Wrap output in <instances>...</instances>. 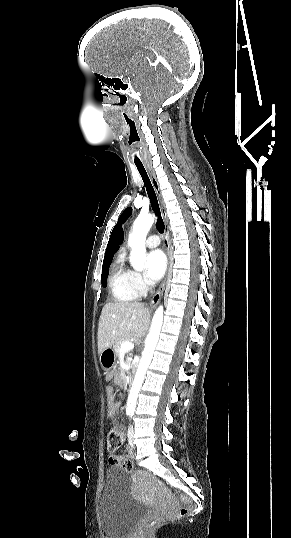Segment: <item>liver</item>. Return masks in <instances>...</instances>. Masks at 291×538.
Wrapping results in <instances>:
<instances>
[{
    "instance_id": "obj_1",
    "label": "liver",
    "mask_w": 291,
    "mask_h": 538,
    "mask_svg": "<svg viewBox=\"0 0 291 538\" xmlns=\"http://www.w3.org/2000/svg\"><path fill=\"white\" fill-rule=\"evenodd\" d=\"M149 318V309L140 302L105 304L98 324V354L125 338L144 336Z\"/></svg>"
}]
</instances>
